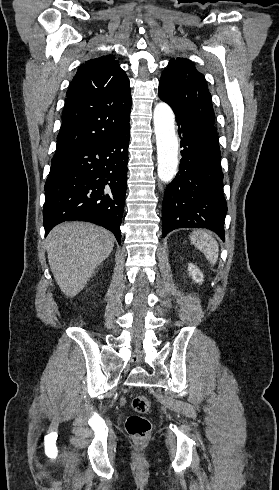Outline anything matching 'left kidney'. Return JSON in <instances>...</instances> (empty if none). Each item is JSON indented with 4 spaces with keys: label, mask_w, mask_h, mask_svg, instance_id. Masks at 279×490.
<instances>
[{
    "label": "left kidney",
    "mask_w": 279,
    "mask_h": 490,
    "mask_svg": "<svg viewBox=\"0 0 279 490\" xmlns=\"http://www.w3.org/2000/svg\"><path fill=\"white\" fill-rule=\"evenodd\" d=\"M188 272L189 276H191L192 280L196 282V284H202L204 282V276L200 270H198L197 266H194V264H188Z\"/></svg>",
    "instance_id": "left-kidney-1"
}]
</instances>
